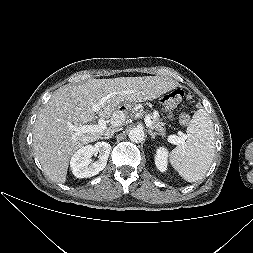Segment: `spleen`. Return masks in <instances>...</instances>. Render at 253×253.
<instances>
[{
  "instance_id": "3e777b00",
  "label": "spleen",
  "mask_w": 253,
  "mask_h": 253,
  "mask_svg": "<svg viewBox=\"0 0 253 253\" xmlns=\"http://www.w3.org/2000/svg\"><path fill=\"white\" fill-rule=\"evenodd\" d=\"M187 140L170 153V163L187 182L202 179L214 157L213 123L204 109L195 112L187 127Z\"/></svg>"
}]
</instances>
